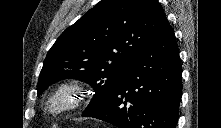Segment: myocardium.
Wrapping results in <instances>:
<instances>
[{
	"mask_svg": "<svg viewBox=\"0 0 221 128\" xmlns=\"http://www.w3.org/2000/svg\"><path fill=\"white\" fill-rule=\"evenodd\" d=\"M84 96L82 85L77 82L66 81L59 84L50 95L45 111L61 114L75 109Z\"/></svg>",
	"mask_w": 221,
	"mask_h": 128,
	"instance_id": "f54148a6",
	"label": "myocardium"
}]
</instances>
